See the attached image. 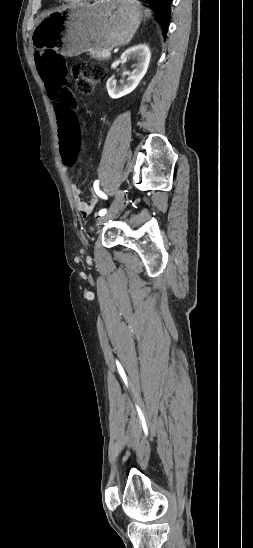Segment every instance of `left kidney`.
I'll return each mask as SVG.
<instances>
[{"instance_id": "obj_1", "label": "left kidney", "mask_w": 253, "mask_h": 548, "mask_svg": "<svg viewBox=\"0 0 253 548\" xmlns=\"http://www.w3.org/2000/svg\"><path fill=\"white\" fill-rule=\"evenodd\" d=\"M131 58L136 60L135 69L125 83L117 84L114 77L107 80L106 88L112 99H118L131 93L145 76L151 58L148 45L139 44L129 48L121 55V62H127Z\"/></svg>"}]
</instances>
